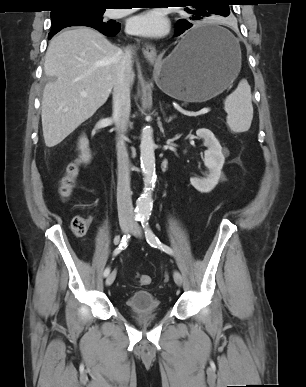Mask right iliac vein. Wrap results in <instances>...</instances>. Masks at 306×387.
<instances>
[{
    "label": "right iliac vein",
    "mask_w": 306,
    "mask_h": 387,
    "mask_svg": "<svg viewBox=\"0 0 306 387\" xmlns=\"http://www.w3.org/2000/svg\"><path fill=\"white\" fill-rule=\"evenodd\" d=\"M120 227H121V230H122L124 233H128V232L130 231V229L132 228V225H131V223H129V222H122V223L120 224ZM115 278H116V271H113V272H111V273L108 275V277L106 278L105 284H106L107 286H110V285L114 282Z\"/></svg>",
    "instance_id": "right-iliac-vein-1"
}]
</instances>
